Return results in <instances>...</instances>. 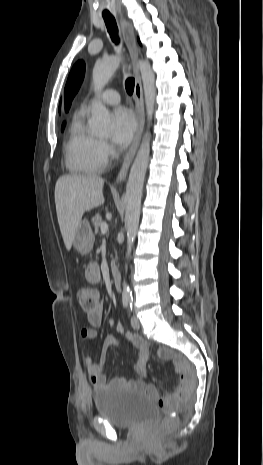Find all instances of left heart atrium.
I'll use <instances>...</instances> for the list:
<instances>
[{
  "label": "left heart atrium",
  "mask_w": 263,
  "mask_h": 465,
  "mask_svg": "<svg viewBox=\"0 0 263 465\" xmlns=\"http://www.w3.org/2000/svg\"><path fill=\"white\" fill-rule=\"evenodd\" d=\"M112 140L118 146H126L136 131V120L131 110L117 107L112 113Z\"/></svg>",
  "instance_id": "left-heart-atrium-1"
}]
</instances>
